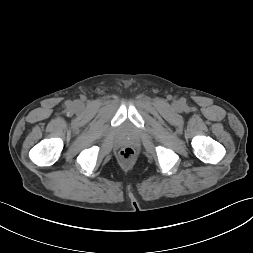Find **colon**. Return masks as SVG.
<instances>
[{"label": "colon", "instance_id": "colon-1", "mask_svg": "<svg viewBox=\"0 0 253 253\" xmlns=\"http://www.w3.org/2000/svg\"><path fill=\"white\" fill-rule=\"evenodd\" d=\"M119 156L123 161H131L135 156V151L132 147H124L120 150Z\"/></svg>", "mask_w": 253, "mask_h": 253}]
</instances>
